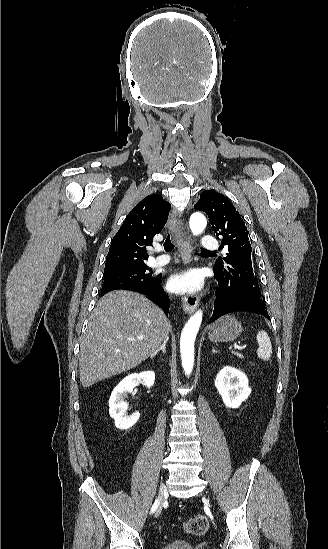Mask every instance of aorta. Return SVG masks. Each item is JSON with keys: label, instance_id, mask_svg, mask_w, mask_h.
<instances>
[{"label": "aorta", "instance_id": "762f6f07", "mask_svg": "<svg viewBox=\"0 0 328 549\" xmlns=\"http://www.w3.org/2000/svg\"><path fill=\"white\" fill-rule=\"evenodd\" d=\"M207 224L203 214L196 212L190 217L189 225L192 233L198 235L205 229ZM202 322V311H197L184 326L180 339V352L182 367L187 376H189L194 366V343Z\"/></svg>", "mask_w": 328, "mask_h": 549}]
</instances>
